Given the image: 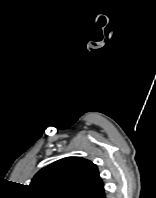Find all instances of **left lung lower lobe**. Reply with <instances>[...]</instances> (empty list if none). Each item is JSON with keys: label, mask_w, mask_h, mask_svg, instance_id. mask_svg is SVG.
<instances>
[{"label": "left lung lower lobe", "mask_w": 156, "mask_h": 198, "mask_svg": "<svg viewBox=\"0 0 156 198\" xmlns=\"http://www.w3.org/2000/svg\"><path fill=\"white\" fill-rule=\"evenodd\" d=\"M99 198H105V193H103Z\"/></svg>", "instance_id": "0a47b994"}]
</instances>
